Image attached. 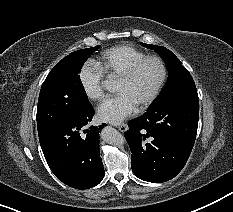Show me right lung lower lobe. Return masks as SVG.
<instances>
[{"mask_svg":"<svg viewBox=\"0 0 233 212\" xmlns=\"http://www.w3.org/2000/svg\"><path fill=\"white\" fill-rule=\"evenodd\" d=\"M93 107L72 120H64L39 134L45 159L55 176L76 189H88L104 178L99 132L106 124L89 127Z\"/></svg>","mask_w":233,"mask_h":212,"instance_id":"right-lung-lower-lobe-1","label":"right lung lower lobe"}]
</instances>
